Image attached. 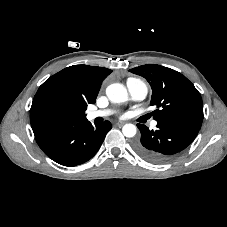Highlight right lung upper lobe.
<instances>
[{
	"label": "right lung upper lobe",
	"mask_w": 227,
	"mask_h": 227,
	"mask_svg": "<svg viewBox=\"0 0 227 227\" xmlns=\"http://www.w3.org/2000/svg\"><path fill=\"white\" fill-rule=\"evenodd\" d=\"M111 72L112 70L103 67L73 65L47 79L39 91H59L86 110L88 104L95 103L102 81Z\"/></svg>",
	"instance_id": "cb5924a9"
}]
</instances>
